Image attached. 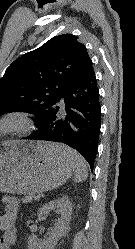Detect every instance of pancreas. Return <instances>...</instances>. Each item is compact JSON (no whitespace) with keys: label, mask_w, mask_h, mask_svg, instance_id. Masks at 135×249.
<instances>
[{"label":"pancreas","mask_w":135,"mask_h":249,"mask_svg":"<svg viewBox=\"0 0 135 249\" xmlns=\"http://www.w3.org/2000/svg\"><path fill=\"white\" fill-rule=\"evenodd\" d=\"M33 197H34L33 194H28L27 196H25V197L22 199V201H23L24 203L31 202L32 199H33Z\"/></svg>","instance_id":"obj_1"}]
</instances>
